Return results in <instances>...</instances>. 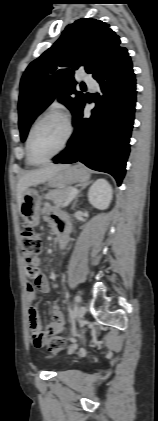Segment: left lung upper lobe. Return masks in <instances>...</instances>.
I'll use <instances>...</instances> for the list:
<instances>
[{"label": "left lung upper lobe", "mask_w": 158, "mask_h": 421, "mask_svg": "<svg viewBox=\"0 0 158 421\" xmlns=\"http://www.w3.org/2000/svg\"><path fill=\"white\" fill-rule=\"evenodd\" d=\"M119 44V36L100 20L82 18L69 24L22 76L18 104L21 140L25 141L30 125L56 97L74 119L86 101L85 95L75 90V70L83 67L94 77L111 61Z\"/></svg>", "instance_id": "obj_1"}]
</instances>
